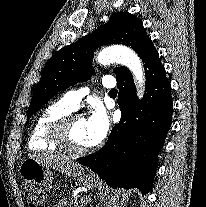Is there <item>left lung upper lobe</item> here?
<instances>
[{
	"instance_id": "1",
	"label": "left lung upper lobe",
	"mask_w": 206,
	"mask_h": 207,
	"mask_svg": "<svg viewBox=\"0 0 206 207\" xmlns=\"http://www.w3.org/2000/svg\"><path fill=\"white\" fill-rule=\"evenodd\" d=\"M113 43L130 46L140 58L153 45L137 17L128 12L116 13L108 23L77 42L63 47L48 60L28 108V119L59 90L90 78L95 49ZM114 72L116 79H120L130 71L126 67H119Z\"/></svg>"
}]
</instances>
